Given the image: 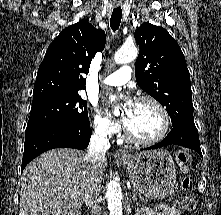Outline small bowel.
<instances>
[{"label":"small bowel","instance_id":"obj_1","mask_svg":"<svg viewBox=\"0 0 221 215\" xmlns=\"http://www.w3.org/2000/svg\"><path fill=\"white\" fill-rule=\"evenodd\" d=\"M136 215H182V212L177 207L160 204L154 208L141 207L137 210Z\"/></svg>","mask_w":221,"mask_h":215}]
</instances>
